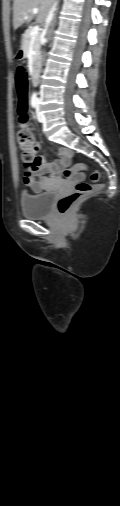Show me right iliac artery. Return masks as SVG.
<instances>
[{"label":"right iliac artery","instance_id":"right-iliac-artery-1","mask_svg":"<svg viewBox=\"0 0 120 506\" xmlns=\"http://www.w3.org/2000/svg\"><path fill=\"white\" fill-rule=\"evenodd\" d=\"M37 103H38L37 96H36V94H33L32 97H31V106L33 108H36L37 107Z\"/></svg>","mask_w":120,"mask_h":506}]
</instances>
